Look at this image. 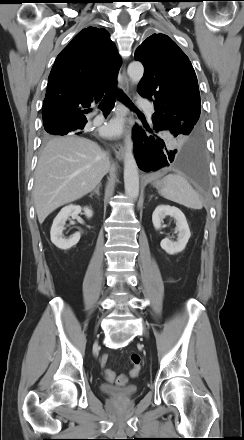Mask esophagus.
<instances>
[{
	"label": "esophagus",
	"mask_w": 244,
	"mask_h": 440,
	"mask_svg": "<svg viewBox=\"0 0 244 440\" xmlns=\"http://www.w3.org/2000/svg\"><path fill=\"white\" fill-rule=\"evenodd\" d=\"M119 88L125 93H128V91H129V80H128V77L125 72V67L123 68L122 73H121V80L119 81ZM117 107H118L119 114L124 116L126 114V107L121 103H118ZM112 149H113L116 157L119 160H122L124 158L125 151H124V147L121 143L113 144Z\"/></svg>",
	"instance_id": "esophagus-1"
}]
</instances>
